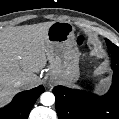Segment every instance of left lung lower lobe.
<instances>
[{
	"instance_id": "1",
	"label": "left lung lower lobe",
	"mask_w": 119,
	"mask_h": 119,
	"mask_svg": "<svg viewBox=\"0 0 119 119\" xmlns=\"http://www.w3.org/2000/svg\"><path fill=\"white\" fill-rule=\"evenodd\" d=\"M111 53L113 82L103 96L56 86V112L59 119H119V47L106 39Z\"/></svg>"
}]
</instances>
